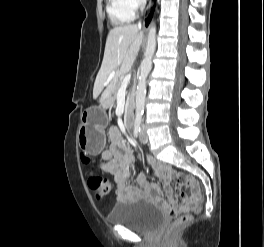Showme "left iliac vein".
<instances>
[{"label": "left iliac vein", "instance_id": "4c4485c4", "mask_svg": "<svg viewBox=\"0 0 264 247\" xmlns=\"http://www.w3.org/2000/svg\"><path fill=\"white\" fill-rule=\"evenodd\" d=\"M140 141L143 144H146L148 142V137H147V134H146V131H145L144 127H142V129H141Z\"/></svg>", "mask_w": 264, "mask_h": 247}]
</instances>
